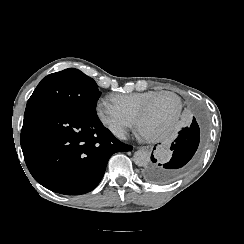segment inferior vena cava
Returning a JSON list of instances; mask_svg holds the SVG:
<instances>
[{"label": "inferior vena cava", "instance_id": "obj_1", "mask_svg": "<svg viewBox=\"0 0 244 244\" xmlns=\"http://www.w3.org/2000/svg\"><path fill=\"white\" fill-rule=\"evenodd\" d=\"M115 136H117L119 139L126 140V134L125 131L122 129H117L113 132Z\"/></svg>", "mask_w": 244, "mask_h": 244}]
</instances>
